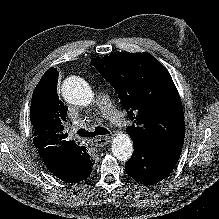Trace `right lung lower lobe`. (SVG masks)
Here are the masks:
<instances>
[{"label": "right lung lower lobe", "instance_id": "obj_1", "mask_svg": "<svg viewBox=\"0 0 219 219\" xmlns=\"http://www.w3.org/2000/svg\"><path fill=\"white\" fill-rule=\"evenodd\" d=\"M67 153H69L68 157H70V159L75 163V166L73 167H76V169H78L79 167H83V172L80 173L79 171H76L75 175H77V177L75 178L74 182H79L89 177L92 171L91 169L92 161H91V165L89 166L87 164H84V161H86V159L82 155L78 154L77 151H72Z\"/></svg>", "mask_w": 219, "mask_h": 219}]
</instances>
